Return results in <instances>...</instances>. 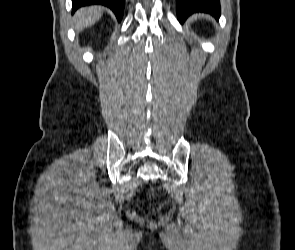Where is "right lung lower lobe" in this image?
I'll use <instances>...</instances> for the list:
<instances>
[{
    "label": "right lung lower lobe",
    "mask_w": 295,
    "mask_h": 250,
    "mask_svg": "<svg viewBox=\"0 0 295 250\" xmlns=\"http://www.w3.org/2000/svg\"><path fill=\"white\" fill-rule=\"evenodd\" d=\"M124 1L125 0H72V13L82 6L101 4L109 7L115 13L118 21H121L124 11Z\"/></svg>",
    "instance_id": "obj_1"
}]
</instances>
